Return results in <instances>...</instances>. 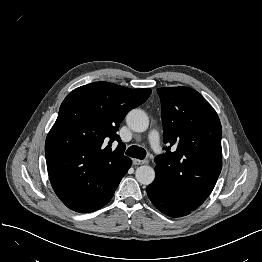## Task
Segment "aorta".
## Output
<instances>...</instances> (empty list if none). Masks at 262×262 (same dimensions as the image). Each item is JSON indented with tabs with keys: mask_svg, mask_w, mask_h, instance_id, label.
Returning a JSON list of instances; mask_svg holds the SVG:
<instances>
[{
	"mask_svg": "<svg viewBox=\"0 0 262 262\" xmlns=\"http://www.w3.org/2000/svg\"><path fill=\"white\" fill-rule=\"evenodd\" d=\"M126 122L130 129L135 132H144L148 129L149 118L141 109H132L126 116ZM135 177L142 185H150L155 179V170L147 165L136 169Z\"/></svg>",
	"mask_w": 262,
	"mask_h": 262,
	"instance_id": "obj_1",
	"label": "aorta"
}]
</instances>
